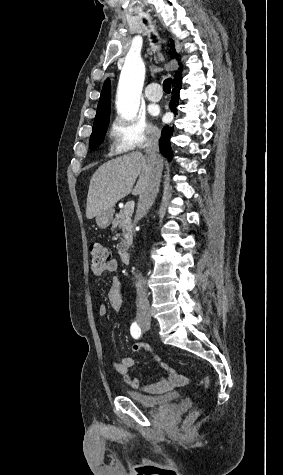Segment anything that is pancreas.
Returning a JSON list of instances; mask_svg holds the SVG:
<instances>
[{
    "label": "pancreas",
    "instance_id": "1",
    "mask_svg": "<svg viewBox=\"0 0 283 475\" xmlns=\"http://www.w3.org/2000/svg\"><path fill=\"white\" fill-rule=\"evenodd\" d=\"M132 212L127 210L126 206L123 210H120L119 214H116L112 222V228H119L122 230V236L120 245H118V253H127L132 241H133V224L131 220Z\"/></svg>",
    "mask_w": 283,
    "mask_h": 475
}]
</instances>
